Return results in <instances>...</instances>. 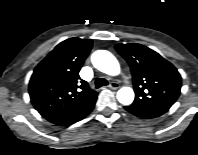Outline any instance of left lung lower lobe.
I'll list each match as a JSON object with an SVG mask.
<instances>
[{"instance_id":"0a47b994","label":"left lung lower lobe","mask_w":198,"mask_h":155,"mask_svg":"<svg viewBox=\"0 0 198 155\" xmlns=\"http://www.w3.org/2000/svg\"><path fill=\"white\" fill-rule=\"evenodd\" d=\"M125 109L128 112L142 118H155L168 111L165 109H145L134 105L126 106Z\"/></svg>"}]
</instances>
